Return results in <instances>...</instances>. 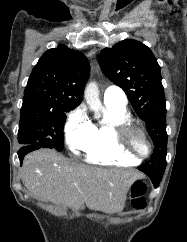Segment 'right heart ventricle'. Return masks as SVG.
Here are the masks:
<instances>
[{"label": "right heart ventricle", "instance_id": "e07e8e85", "mask_svg": "<svg viewBox=\"0 0 187 242\" xmlns=\"http://www.w3.org/2000/svg\"><path fill=\"white\" fill-rule=\"evenodd\" d=\"M125 119H130L126 106L105 105L104 115L93 124L92 140L83 151L87 163L102 166H135L139 163L123 155L113 140V126Z\"/></svg>", "mask_w": 187, "mask_h": 242}]
</instances>
